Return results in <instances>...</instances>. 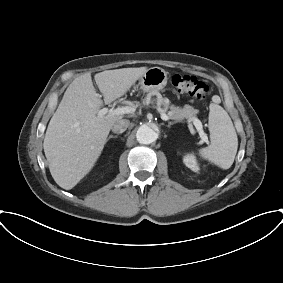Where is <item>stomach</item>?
I'll use <instances>...</instances> for the list:
<instances>
[{"label":"stomach","instance_id":"obj_1","mask_svg":"<svg viewBox=\"0 0 283 283\" xmlns=\"http://www.w3.org/2000/svg\"><path fill=\"white\" fill-rule=\"evenodd\" d=\"M168 81V72L161 67L149 68L138 80L136 87L147 93H154L162 90Z\"/></svg>","mask_w":283,"mask_h":283}]
</instances>
